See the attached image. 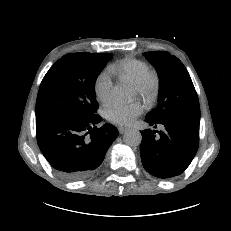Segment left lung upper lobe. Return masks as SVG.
Segmentation results:
<instances>
[{"instance_id":"obj_1","label":"left lung upper lobe","mask_w":231,"mask_h":231,"mask_svg":"<svg viewBox=\"0 0 231 231\" xmlns=\"http://www.w3.org/2000/svg\"><path fill=\"white\" fill-rule=\"evenodd\" d=\"M144 55L156 68L161 82L159 104L146 118L159 121L186 115L200 116L198 96L182 62L166 51H151Z\"/></svg>"}]
</instances>
